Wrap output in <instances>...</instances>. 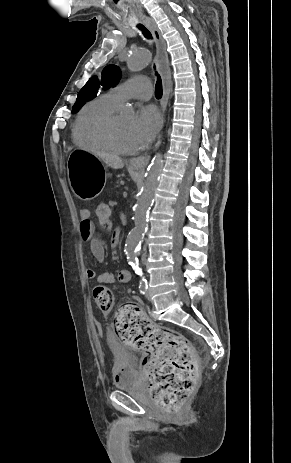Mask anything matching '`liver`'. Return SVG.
<instances>
[{"label":"liver","instance_id":"obj_1","mask_svg":"<svg viewBox=\"0 0 291 463\" xmlns=\"http://www.w3.org/2000/svg\"><path fill=\"white\" fill-rule=\"evenodd\" d=\"M93 154L103 160L109 167L120 169L124 167V161L117 155L103 151H93Z\"/></svg>","mask_w":291,"mask_h":463}]
</instances>
